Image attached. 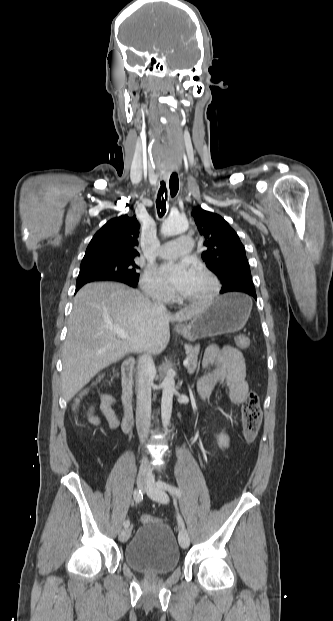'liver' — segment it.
Here are the masks:
<instances>
[{"mask_svg": "<svg viewBox=\"0 0 333 621\" xmlns=\"http://www.w3.org/2000/svg\"><path fill=\"white\" fill-rule=\"evenodd\" d=\"M207 303L189 305L172 315L124 284L85 285L74 298L63 346L64 399L69 402L98 372L131 352H163L170 340L169 322L190 320ZM112 327L125 330L129 337L120 339Z\"/></svg>", "mask_w": 333, "mask_h": 621, "instance_id": "liver-1", "label": "liver"}]
</instances>
